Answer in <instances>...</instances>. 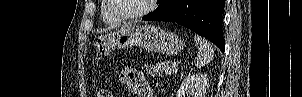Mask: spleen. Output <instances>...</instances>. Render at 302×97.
<instances>
[{
    "label": "spleen",
    "instance_id": "3e777b00",
    "mask_svg": "<svg viewBox=\"0 0 302 97\" xmlns=\"http://www.w3.org/2000/svg\"><path fill=\"white\" fill-rule=\"evenodd\" d=\"M194 40L198 46L196 66L200 68L210 63V61L213 59L214 49L210 42L199 35H195Z\"/></svg>",
    "mask_w": 302,
    "mask_h": 97
}]
</instances>
